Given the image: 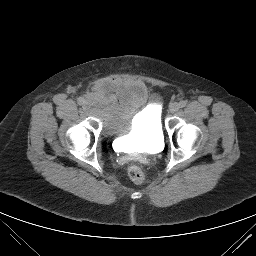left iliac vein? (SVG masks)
<instances>
[{
    "label": "left iliac vein",
    "instance_id": "4c4485c4",
    "mask_svg": "<svg viewBox=\"0 0 256 256\" xmlns=\"http://www.w3.org/2000/svg\"><path fill=\"white\" fill-rule=\"evenodd\" d=\"M179 110V104L178 103H172L170 106H169V111L171 113H175Z\"/></svg>",
    "mask_w": 256,
    "mask_h": 256
}]
</instances>
